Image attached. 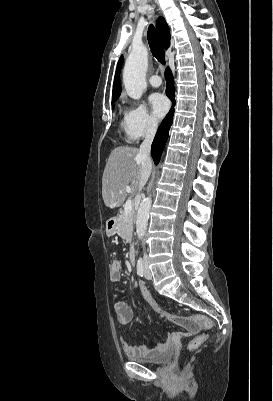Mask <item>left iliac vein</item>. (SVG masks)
<instances>
[{
	"instance_id": "obj_1",
	"label": "left iliac vein",
	"mask_w": 273,
	"mask_h": 401,
	"mask_svg": "<svg viewBox=\"0 0 273 401\" xmlns=\"http://www.w3.org/2000/svg\"><path fill=\"white\" fill-rule=\"evenodd\" d=\"M144 275H145L146 279H151L152 278V274L150 272V269L148 267V263L147 262L144 263Z\"/></svg>"
}]
</instances>
